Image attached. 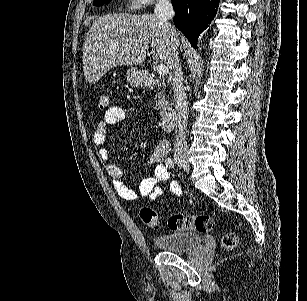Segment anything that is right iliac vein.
I'll use <instances>...</instances> for the list:
<instances>
[{
    "label": "right iliac vein",
    "instance_id": "1",
    "mask_svg": "<svg viewBox=\"0 0 307 301\" xmlns=\"http://www.w3.org/2000/svg\"><path fill=\"white\" fill-rule=\"evenodd\" d=\"M176 163L180 168H182L185 172L189 173L190 167L189 162L186 157L184 156H177L176 157Z\"/></svg>",
    "mask_w": 307,
    "mask_h": 301
}]
</instances>
